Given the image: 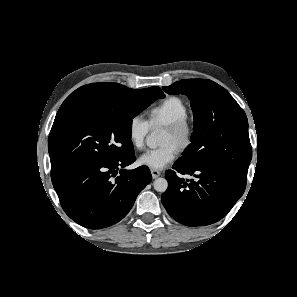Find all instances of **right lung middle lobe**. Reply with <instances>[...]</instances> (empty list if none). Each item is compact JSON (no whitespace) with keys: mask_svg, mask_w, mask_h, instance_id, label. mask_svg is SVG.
Returning a JSON list of instances; mask_svg holds the SVG:
<instances>
[{"mask_svg":"<svg viewBox=\"0 0 297 297\" xmlns=\"http://www.w3.org/2000/svg\"><path fill=\"white\" fill-rule=\"evenodd\" d=\"M157 98L164 97L153 88L135 90L123 102L87 107L54 123L48 141L51 175L78 163L134 154L132 119Z\"/></svg>","mask_w":297,"mask_h":297,"instance_id":"dd1d6c3e","label":"right lung middle lobe"}]
</instances>
